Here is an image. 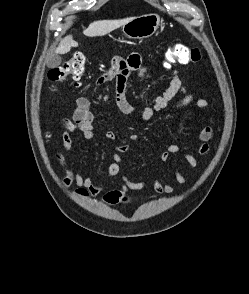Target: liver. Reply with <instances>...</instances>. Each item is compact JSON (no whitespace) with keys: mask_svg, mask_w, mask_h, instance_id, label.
<instances>
[{"mask_svg":"<svg viewBox=\"0 0 249 294\" xmlns=\"http://www.w3.org/2000/svg\"><path fill=\"white\" fill-rule=\"evenodd\" d=\"M131 19L133 18L130 17V18H125L121 20L95 21L91 23L88 26V28L83 31V34L88 37L103 36L123 26L125 23H127ZM77 46H78V43L73 40V37L71 35H68L61 40L55 52L57 54H66L70 51L72 47H77Z\"/></svg>","mask_w":249,"mask_h":294,"instance_id":"6515ba94","label":"liver"}]
</instances>
